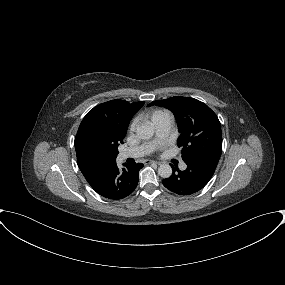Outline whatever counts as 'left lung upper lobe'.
Wrapping results in <instances>:
<instances>
[{
    "mask_svg": "<svg viewBox=\"0 0 285 285\" xmlns=\"http://www.w3.org/2000/svg\"><path fill=\"white\" fill-rule=\"evenodd\" d=\"M169 109L175 116L180 136L177 145L183 147L182 159L186 162L201 156H221V125L216 114L203 102L188 97H171L153 101Z\"/></svg>",
    "mask_w": 285,
    "mask_h": 285,
    "instance_id": "obj_1",
    "label": "left lung upper lobe"
}]
</instances>
